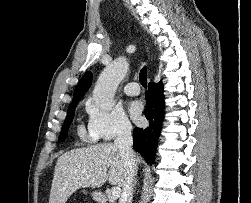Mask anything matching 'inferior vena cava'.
I'll return each instance as SVG.
<instances>
[{
  "label": "inferior vena cava",
  "instance_id": "obj_1",
  "mask_svg": "<svg viewBox=\"0 0 251 203\" xmlns=\"http://www.w3.org/2000/svg\"><path fill=\"white\" fill-rule=\"evenodd\" d=\"M131 130L132 126L129 122L123 123L114 141V146L118 148L126 168L120 203H132L133 181L137 171L135 154L132 150L133 138Z\"/></svg>",
  "mask_w": 251,
  "mask_h": 203
}]
</instances>
